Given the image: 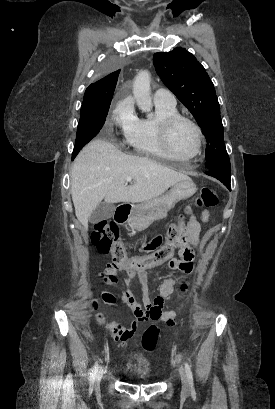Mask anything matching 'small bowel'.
Masks as SVG:
<instances>
[{"instance_id": "c3829d8e", "label": "small bowel", "mask_w": 275, "mask_h": 409, "mask_svg": "<svg viewBox=\"0 0 275 409\" xmlns=\"http://www.w3.org/2000/svg\"><path fill=\"white\" fill-rule=\"evenodd\" d=\"M203 218L206 220L208 218V213H203ZM179 230L181 231L185 243L179 251V258H174L170 261L169 267L172 270L180 271L184 274H191L194 269V256H195V249L198 247L200 243V233H201V225L196 219H192L188 225L186 226H179ZM118 271L116 269H111L110 273L107 274V277L102 278V283L105 284L107 288L111 286L117 285L118 281L114 280L116 278V273ZM140 282L142 285L146 286L148 282L146 271L144 270L143 273H138ZM123 277V276H121ZM134 279V273H128L124 275L123 282L121 283L122 287H125L126 284L130 282V280ZM179 290L182 295H185L188 290V282L185 279H182L178 283ZM175 281L171 278L164 280L158 290L159 295L155 298L153 303L151 304L147 301L148 306H141L136 298L131 294V292L124 288L123 295L121 297V302L130 306L133 311L134 316L139 322L147 321V320H158L162 319L168 324H173L175 322L176 313L173 310H168L163 312L162 311V304L164 298L170 296L174 291ZM132 320L131 326L137 327L138 321ZM113 335L116 338L109 334L107 339L112 341L114 338V344L116 350L122 349V340L127 344L129 343L132 345L134 342L132 341L134 332L132 330H125L123 332V324L121 322H114L113 323ZM145 333L142 335V339L140 340V345L147 350L148 354L154 353V348L159 347L161 345V340L158 338V335L154 333V326L153 325H146L145 326Z\"/></svg>"}]
</instances>
